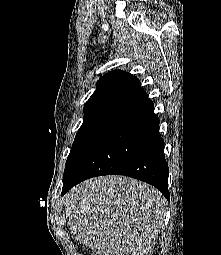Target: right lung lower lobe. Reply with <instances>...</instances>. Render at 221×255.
I'll use <instances>...</instances> for the list:
<instances>
[{"label": "right lung lower lobe", "instance_id": "right-lung-lower-lobe-1", "mask_svg": "<svg viewBox=\"0 0 221 255\" xmlns=\"http://www.w3.org/2000/svg\"><path fill=\"white\" fill-rule=\"evenodd\" d=\"M146 92L117 108L63 178L61 195L91 177L120 174L155 186L169 200L159 119Z\"/></svg>", "mask_w": 221, "mask_h": 255}]
</instances>
